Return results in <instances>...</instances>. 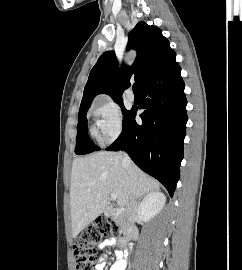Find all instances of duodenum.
Instances as JSON below:
<instances>
[{"label":"duodenum","instance_id":"410a0bca","mask_svg":"<svg viewBox=\"0 0 242 270\" xmlns=\"http://www.w3.org/2000/svg\"><path fill=\"white\" fill-rule=\"evenodd\" d=\"M105 215L122 219L127 223L125 228V237L120 241L122 245H126L130 241L135 240L137 238V230L134 224L132 223L133 218L132 212H125L122 209L117 208H109L106 211Z\"/></svg>","mask_w":242,"mask_h":270}]
</instances>
